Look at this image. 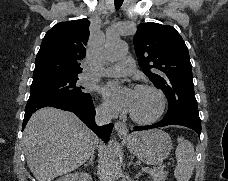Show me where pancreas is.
Returning a JSON list of instances; mask_svg holds the SVG:
<instances>
[{"label": "pancreas", "instance_id": "cf45deb5", "mask_svg": "<svg viewBox=\"0 0 228 181\" xmlns=\"http://www.w3.org/2000/svg\"><path fill=\"white\" fill-rule=\"evenodd\" d=\"M149 175L154 179V181H166L168 173L167 171H159V169L154 167V169L149 171Z\"/></svg>", "mask_w": 228, "mask_h": 181}]
</instances>
